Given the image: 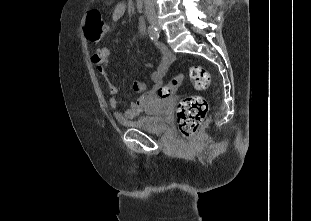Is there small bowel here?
Returning a JSON list of instances; mask_svg holds the SVG:
<instances>
[{
	"instance_id": "1",
	"label": "small bowel",
	"mask_w": 311,
	"mask_h": 221,
	"mask_svg": "<svg viewBox=\"0 0 311 221\" xmlns=\"http://www.w3.org/2000/svg\"><path fill=\"white\" fill-rule=\"evenodd\" d=\"M126 10V5L123 2H118L115 4L112 14H111V23L115 24L117 21L121 19ZM137 29L139 34H143L145 32V27L141 28L139 26V21L137 23ZM156 50L161 58L160 62L156 66V68L151 72L150 79L153 82V87L151 90L146 91V84L142 81H134L133 89L137 92H141L142 94L137 98L135 102H133L129 108H122L120 106L118 95L119 88L116 83L111 79V74L108 70V63L110 61V50L106 46H102L96 49L95 53L92 56V61L96 65L99 73L105 79L107 91L109 95V106L113 110L116 119L122 120L124 118H133L139 115L146 103L153 98L158 89L162 87L163 79L167 73L168 66L173 62L174 56L173 54L162 44H156Z\"/></svg>"
}]
</instances>
